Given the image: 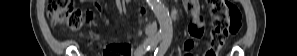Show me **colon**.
<instances>
[{
	"label": "colon",
	"instance_id": "5ec220e1",
	"mask_svg": "<svg viewBox=\"0 0 297 56\" xmlns=\"http://www.w3.org/2000/svg\"><path fill=\"white\" fill-rule=\"evenodd\" d=\"M213 27L204 56H217L229 35H235L241 28V13L238 7L228 0H208ZM47 15L54 25H65L75 30L94 19L91 10L83 13L74 8L71 0H49Z\"/></svg>",
	"mask_w": 297,
	"mask_h": 56
}]
</instances>
